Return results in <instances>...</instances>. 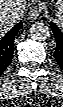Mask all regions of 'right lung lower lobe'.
Here are the masks:
<instances>
[{
    "mask_svg": "<svg viewBox=\"0 0 63 107\" xmlns=\"http://www.w3.org/2000/svg\"><path fill=\"white\" fill-rule=\"evenodd\" d=\"M21 27L22 22H19L0 40V75L12 61L14 38Z\"/></svg>",
    "mask_w": 63,
    "mask_h": 107,
    "instance_id": "obj_1",
    "label": "right lung lower lobe"
}]
</instances>
